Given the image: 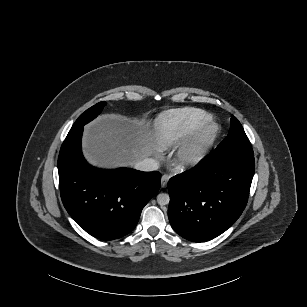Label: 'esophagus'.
Segmentation results:
<instances>
[{
    "label": "esophagus",
    "mask_w": 307,
    "mask_h": 307,
    "mask_svg": "<svg viewBox=\"0 0 307 307\" xmlns=\"http://www.w3.org/2000/svg\"><path fill=\"white\" fill-rule=\"evenodd\" d=\"M170 179V176L168 174H164L161 177V187L165 188L167 186L168 180Z\"/></svg>",
    "instance_id": "34e87169"
}]
</instances>
